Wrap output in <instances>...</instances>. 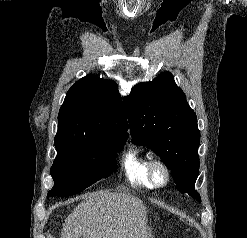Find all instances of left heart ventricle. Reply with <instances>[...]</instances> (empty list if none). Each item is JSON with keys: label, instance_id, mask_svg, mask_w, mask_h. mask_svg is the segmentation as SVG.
Listing matches in <instances>:
<instances>
[{"label": "left heart ventricle", "instance_id": "obj_1", "mask_svg": "<svg viewBox=\"0 0 247 238\" xmlns=\"http://www.w3.org/2000/svg\"><path fill=\"white\" fill-rule=\"evenodd\" d=\"M157 178H158L159 180H162V179H163V173H162L161 171H158V172H157Z\"/></svg>", "mask_w": 247, "mask_h": 238}]
</instances>
